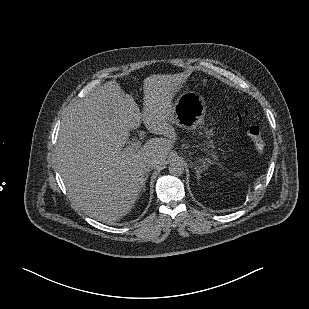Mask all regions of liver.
<instances>
[{
	"mask_svg": "<svg viewBox=\"0 0 309 309\" xmlns=\"http://www.w3.org/2000/svg\"><path fill=\"white\" fill-rule=\"evenodd\" d=\"M142 113L119 84L109 81L63 116L56 148L59 173L75 205L87 216L114 222L129 213L145 181V167L164 164L176 137L167 99L155 79L145 81ZM141 122L153 134L140 149H123Z\"/></svg>",
	"mask_w": 309,
	"mask_h": 309,
	"instance_id": "obj_1",
	"label": "liver"
}]
</instances>
